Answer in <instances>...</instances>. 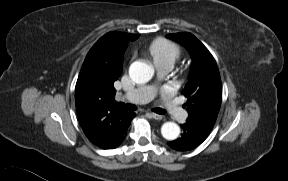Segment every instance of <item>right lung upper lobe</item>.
<instances>
[{"label": "right lung upper lobe", "mask_w": 288, "mask_h": 181, "mask_svg": "<svg viewBox=\"0 0 288 181\" xmlns=\"http://www.w3.org/2000/svg\"><path fill=\"white\" fill-rule=\"evenodd\" d=\"M137 34L110 32L88 52L75 87L81 127L88 139L103 149L116 148L130 122V112L117 108L114 82L123 69L127 43Z\"/></svg>", "instance_id": "right-lung-upper-lobe-1"}]
</instances>
